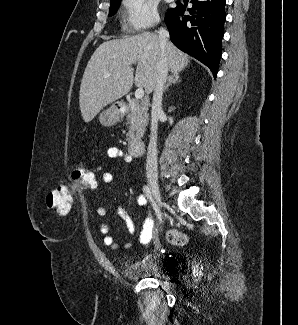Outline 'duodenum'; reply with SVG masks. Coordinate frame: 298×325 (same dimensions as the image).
Masks as SVG:
<instances>
[{"label": "duodenum", "mask_w": 298, "mask_h": 325, "mask_svg": "<svg viewBox=\"0 0 298 325\" xmlns=\"http://www.w3.org/2000/svg\"><path fill=\"white\" fill-rule=\"evenodd\" d=\"M142 104L144 106L149 105V100L147 98L143 99ZM127 109V106L123 105L119 107L120 112H124ZM145 150V141L141 137L134 138L129 143V152L133 156H140Z\"/></svg>", "instance_id": "obj_1"}]
</instances>
